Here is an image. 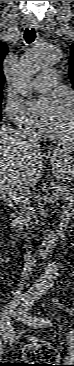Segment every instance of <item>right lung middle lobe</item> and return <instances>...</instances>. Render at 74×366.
Listing matches in <instances>:
<instances>
[{"instance_id":"obj_1","label":"right lung middle lobe","mask_w":74,"mask_h":366,"mask_svg":"<svg viewBox=\"0 0 74 366\" xmlns=\"http://www.w3.org/2000/svg\"><path fill=\"white\" fill-rule=\"evenodd\" d=\"M1 100H2V92H0V102H1Z\"/></svg>"}]
</instances>
